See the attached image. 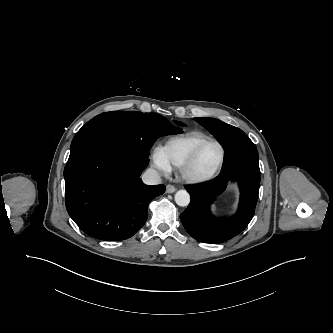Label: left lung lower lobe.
I'll use <instances>...</instances> for the list:
<instances>
[{
	"mask_svg": "<svg viewBox=\"0 0 333 333\" xmlns=\"http://www.w3.org/2000/svg\"><path fill=\"white\" fill-rule=\"evenodd\" d=\"M224 150L221 173L205 184L186 188L191 201L180 219L186 231L200 242H226L240 234L254 216L261 177L257 149L243 134L229 142ZM231 182L237 183L240 189L238 211L229 218H216L211 204Z\"/></svg>",
	"mask_w": 333,
	"mask_h": 333,
	"instance_id": "0a47b994",
	"label": "left lung lower lobe"
}]
</instances>
